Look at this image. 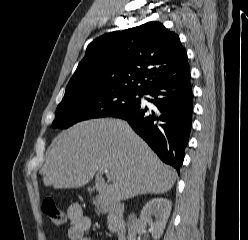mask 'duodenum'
<instances>
[{
	"mask_svg": "<svg viewBox=\"0 0 248 240\" xmlns=\"http://www.w3.org/2000/svg\"><path fill=\"white\" fill-rule=\"evenodd\" d=\"M98 210L103 214H109L112 227L117 240H127V225L123 219L124 206L119 202L100 200L97 203Z\"/></svg>",
	"mask_w": 248,
	"mask_h": 240,
	"instance_id": "duodenum-1",
	"label": "duodenum"
}]
</instances>
